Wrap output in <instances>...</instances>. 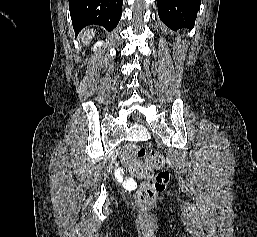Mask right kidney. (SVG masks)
I'll use <instances>...</instances> for the list:
<instances>
[{
  "label": "right kidney",
  "mask_w": 257,
  "mask_h": 237,
  "mask_svg": "<svg viewBox=\"0 0 257 237\" xmlns=\"http://www.w3.org/2000/svg\"><path fill=\"white\" fill-rule=\"evenodd\" d=\"M103 44V41H98L94 46H93V51H96L97 50V47H101Z\"/></svg>",
  "instance_id": "obj_1"
}]
</instances>
